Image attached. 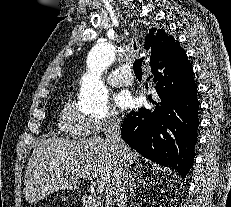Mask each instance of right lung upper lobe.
Listing matches in <instances>:
<instances>
[{
	"label": "right lung upper lobe",
	"mask_w": 231,
	"mask_h": 207,
	"mask_svg": "<svg viewBox=\"0 0 231 207\" xmlns=\"http://www.w3.org/2000/svg\"><path fill=\"white\" fill-rule=\"evenodd\" d=\"M145 42V46H149L151 49V64L164 61V66H166L188 60L179 43L163 30L153 29L151 36L147 40L145 39Z\"/></svg>",
	"instance_id": "obj_1"
}]
</instances>
